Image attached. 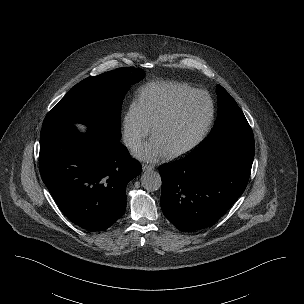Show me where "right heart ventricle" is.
<instances>
[{
    "label": "right heart ventricle",
    "instance_id": "obj_1",
    "mask_svg": "<svg viewBox=\"0 0 304 304\" xmlns=\"http://www.w3.org/2000/svg\"><path fill=\"white\" fill-rule=\"evenodd\" d=\"M194 90L191 86L179 82L151 83L141 89L137 102L152 127L155 120L180 97Z\"/></svg>",
    "mask_w": 304,
    "mask_h": 304
}]
</instances>
